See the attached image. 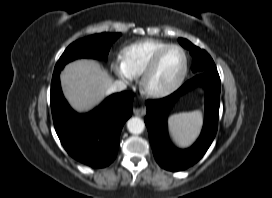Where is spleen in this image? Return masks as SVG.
Instances as JSON below:
<instances>
[{
    "label": "spleen",
    "instance_id": "spleen-1",
    "mask_svg": "<svg viewBox=\"0 0 272 198\" xmlns=\"http://www.w3.org/2000/svg\"><path fill=\"white\" fill-rule=\"evenodd\" d=\"M168 125L170 134L178 145H189L200 131L202 113L196 110L174 114L169 117Z\"/></svg>",
    "mask_w": 272,
    "mask_h": 198
}]
</instances>
